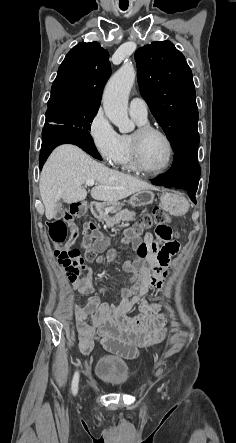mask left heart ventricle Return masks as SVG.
Returning a JSON list of instances; mask_svg holds the SVG:
<instances>
[{
  "instance_id": "1",
  "label": "left heart ventricle",
  "mask_w": 236,
  "mask_h": 443,
  "mask_svg": "<svg viewBox=\"0 0 236 443\" xmlns=\"http://www.w3.org/2000/svg\"><path fill=\"white\" fill-rule=\"evenodd\" d=\"M141 155L147 168L158 170L164 167L168 161V145L160 135L156 133L149 134L142 141Z\"/></svg>"
}]
</instances>
